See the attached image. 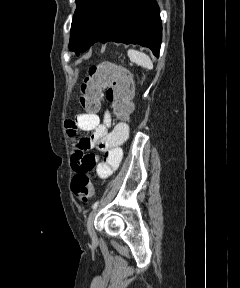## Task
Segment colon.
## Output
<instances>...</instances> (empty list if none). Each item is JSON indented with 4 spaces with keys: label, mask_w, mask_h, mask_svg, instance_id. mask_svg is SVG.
Returning a JSON list of instances; mask_svg holds the SVG:
<instances>
[{
    "label": "colon",
    "mask_w": 240,
    "mask_h": 288,
    "mask_svg": "<svg viewBox=\"0 0 240 288\" xmlns=\"http://www.w3.org/2000/svg\"><path fill=\"white\" fill-rule=\"evenodd\" d=\"M112 102L114 114L125 119L133 110V84L130 73L123 67L102 63L89 68L87 76L80 86L79 102L89 114L100 110L103 90ZM74 195L87 202L94 193L93 186L86 174H76L71 183Z\"/></svg>",
    "instance_id": "obj_1"
}]
</instances>
